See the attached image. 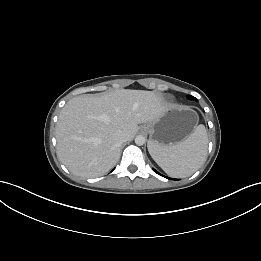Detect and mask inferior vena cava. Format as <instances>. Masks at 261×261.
Here are the masks:
<instances>
[{"instance_id":"inferior-vena-cava-1","label":"inferior vena cava","mask_w":261,"mask_h":261,"mask_svg":"<svg viewBox=\"0 0 261 261\" xmlns=\"http://www.w3.org/2000/svg\"><path fill=\"white\" fill-rule=\"evenodd\" d=\"M114 139L120 144H122L126 141V134L123 131L119 130L114 134Z\"/></svg>"}]
</instances>
